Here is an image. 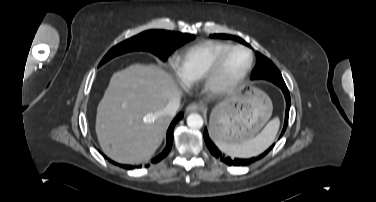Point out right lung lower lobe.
Instances as JSON below:
<instances>
[{"label":"right lung lower lobe","mask_w":376,"mask_h":202,"mask_svg":"<svg viewBox=\"0 0 376 202\" xmlns=\"http://www.w3.org/2000/svg\"><path fill=\"white\" fill-rule=\"evenodd\" d=\"M183 118V114L182 113H179L175 119L172 121V123L170 124L169 128H168V131H167V144H166V147L165 149L162 151V153H160L157 157H155L153 160H152V163H156V162H159L161 161L163 158H165L167 156V154L169 153V151L171 150V147H172V143H173V130H174V127L176 125V123ZM114 163V162H113ZM116 164V163H114ZM121 167L125 168V169H134V166H131V165H121Z\"/></svg>","instance_id":"1"}]
</instances>
